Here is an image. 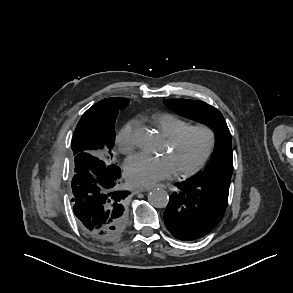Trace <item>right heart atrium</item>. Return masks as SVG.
<instances>
[{
    "label": "right heart atrium",
    "instance_id": "obj_1",
    "mask_svg": "<svg viewBox=\"0 0 293 293\" xmlns=\"http://www.w3.org/2000/svg\"><path fill=\"white\" fill-rule=\"evenodd\" d=\"M138 126L136 120L126 122L116 135V147L122 154H130L136 147L135 130Z\"/></svg>",
    "mask_w": 293,
    "mask_h": 293
}]
</instances>
